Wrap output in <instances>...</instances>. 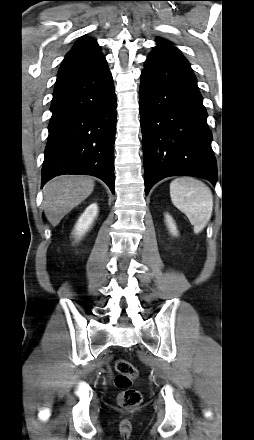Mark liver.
Listing matches in <instances>:
<instances>
[{
    "instance_id": "liver-1",
    "label": "liver",
    "mask_w": 254,
    "mask_h": 440,
    "mask_svg": "<svg viewBox=\"0 0 254 440\" xmlns=\"http://www.w3.org/2000/svg\"><path fill=\"white\" fill-rule=\"evenodd\" d=\"M94 185L91 177L78 175H62L49 181L43 189V207L48 221L57 226L93 192Z\"/></svg>"
}]
</instances>
